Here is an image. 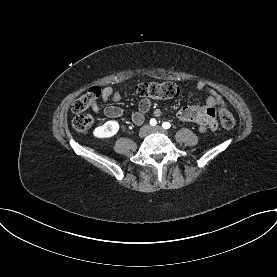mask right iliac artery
<instances>
[{
	"instance_id": "1",
	"label": "right iliac artery",
	"mask_w": 277,
	"mask_h": 277,
	"mask_svg": "<svg viewBox=\"0 0 277 277\" xmlns=\"http://www.w3.org/2000/svg\"><path fill=\"white\" fill-rule=\"evenodd\" d=\"M156 123H157V122H156L155 119H151V120H150V124H151L152 126L156 125Z\"/></svg>"
}]
</instances>
